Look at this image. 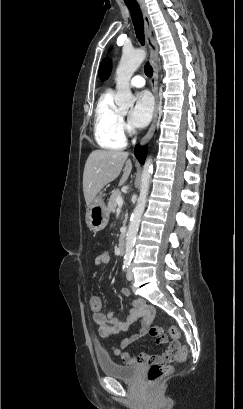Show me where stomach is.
<instances>
[{
  "instance_id": "0dacf381",
  "label": "stomach",
  "mask_w": 243,
  "mask_h": 409,
  "mask_svg": "<svg viewBox=\"0 0 243 409\" xmlns=\"http://www.w3.org/2000/svg\"><path fill=\"white\" fill-rule=\"evenodd\" d=\"M104 196L105 194L100 192L86 210V224L93 232L103 230L109 221V211L104 203Z\"/></svg>"
}]
</instances>
